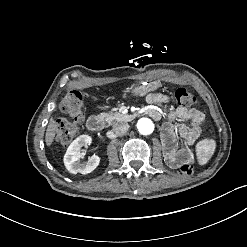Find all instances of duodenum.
<instances>
[{"mask_svg":"<svg viewBox=\"0 0 247 247\" xmlns=\"http://www.w3.org/2000/svg\"><path fill=\"white\" fill-rule=\"evenodd\" d=\"M104 120L102 117L94 115L88 118L86 121V126L90 131L97 132L103 127Z\"/></svg>","mask_w":247,"mask_h":247,"instance_id":"duodenum-1","label":"duodenum"}]
</instances>
